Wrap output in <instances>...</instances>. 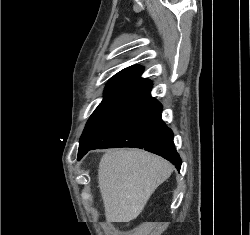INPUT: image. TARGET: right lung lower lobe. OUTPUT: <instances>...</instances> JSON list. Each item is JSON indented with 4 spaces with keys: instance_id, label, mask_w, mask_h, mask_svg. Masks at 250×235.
I'll use <instances>...</instances> for the list:
<instances>
[{
    "instance_id": "right-lung-lower-lobe-1",
    "label": "right lung lower lobe",
    "mask_w": 250,
    "mask_h": 235,
    "mask_svg": "<svg viewBox=\"0 0 250 235\" xmlns=\"http://www.w3.org/2000/svg\"><path fill=\"white\" fill-rule=\"evenodd\" d=\"M151 88L129 98L81 140L78 160L91 149L134 147L162 156L180 170L173 132L162 120V105L151 97Z\"/></svg>"
}]
</instances>
